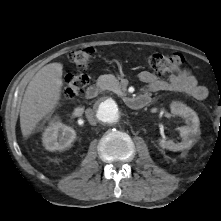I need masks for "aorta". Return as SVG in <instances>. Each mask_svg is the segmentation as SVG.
I'll return each mask as SVG.
<instances>
[{
  "mask_svg": "<svg viewBox=\"0 0 221 221\" xmlns=\"http://www.w3.org/2000/svg\"><path fill=\"white\" fill-rule=\"evenodd\" d=\"M122 115L121 104L113 98L101 99L95 109L96 119L104 125L115 124Z\"/></svg>",
  "mask_w": 221,
  "mask_h": 221,
  "instance_id": "762f6f07",
  "label": "aorta"
}]
</instances>
